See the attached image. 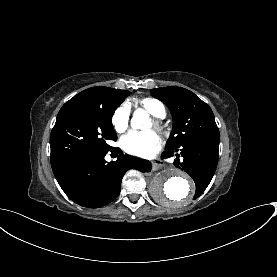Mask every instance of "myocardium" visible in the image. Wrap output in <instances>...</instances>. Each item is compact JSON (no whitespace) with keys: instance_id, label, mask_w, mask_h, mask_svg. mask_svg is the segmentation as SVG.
<instances>
[{"instance_id":"obj_1","label":"myocardium","mask_w":277,"mask_h":277,"mask_svg":"<svg viewBox=\"0 0 277 277\" xmlns=\"http://www.w3.org/2000/svg\"><path fill=\"white\" fill-rule=\"evenodd\" d=\"M152 124H153V128L155 130H157V131H162L163 130L162 123L158 118L152 119Z\"/></svg>"}]
</instances>
